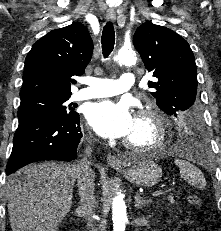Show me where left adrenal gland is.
I'll use <instances>...</instances> for the list:
<instances>
[{"label":"left adrenal gland","instance_id":"1","mask_svg":"<svg viewBox=\"0 0 221 231\" xmlns=\"http://www.w3.org/2000/svg\"><path fill=\"white\" fill-rule=\"evenodd\" d=\"M149 203H151V200H144L139 193L135 196V207L137 209L143 208L145 206H148Z\"/></svg>","mask_w":221,"mask_h":231}]
</instances>
